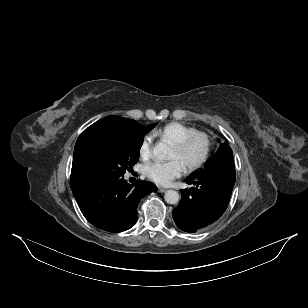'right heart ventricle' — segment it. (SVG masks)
I'll return each mask as SVG.
<instances>
[{"label":"right heart ventricle","mask_w":308,"mask_h":308,"mask_svg":"<svg viewBox=\"0 0 308 308\" xmlns=\"http://www.w3.org/2000/svg\"><path fill=\"white\" fill-rule=\"evenodd\" d=\"M195 131H197L196 128L192 126L180 122H170L155 130L153 135L160 140L175 144Z\"/></svg>","instance_id":"e07e8e85"}]
</instances>
